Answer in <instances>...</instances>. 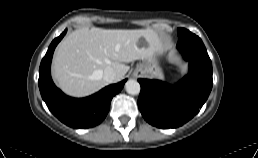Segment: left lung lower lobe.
<instances>
[{"mask_svg": "<svg viewBox=\"0 0 258 158\" xmlns=\"http://www.w3.org/2000/svg\"><path fill=\"white\" fill-rule=\"evenodd\" d=\"M178 50L189 61L190 70L176 85L139 79L138 107L143 118L158 128H176L196 115L212 89V63L202 40L189 32L179 38Z\"/></svg>", "mask_w": 258, "mask_h": 158, "instance_id": "1", "label": "left lung lower lobe"}]
</instances>
